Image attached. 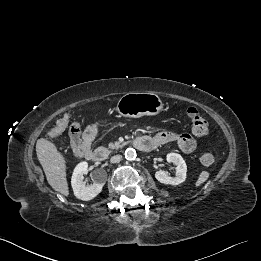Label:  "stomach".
<instances>
[{
    "label": "stomach",
    "instance_id": "1",
    "mask_svg": "<svg viewBox=\"0 0 261 261\" xmlns=\"http://www.w3.org/2000/svg\"><path fill=\"white\" fill-rule=\"evenodd\" d=\"M163 105L156 94L130 92L119 99L116 110L124 117L139 118L159 114Z\"/></svg>",
    "mask_w": 261,
    "mask_h": 261
}]
</instances>
